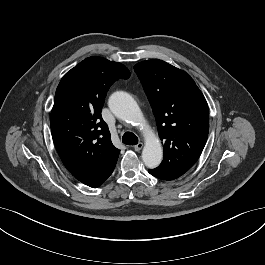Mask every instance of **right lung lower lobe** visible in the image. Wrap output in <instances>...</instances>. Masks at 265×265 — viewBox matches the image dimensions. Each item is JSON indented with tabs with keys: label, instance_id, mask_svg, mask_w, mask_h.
Here are the masks:
<instances>
[{
	"label": "right lung lower lobe",
	"instance_id": "1",
	"mask_svg": "<svg viewBox=\"0 0 265 265\" xmlns=\"http://www.w3.org/2000/svg\"><path fill=\"white\" fill-rule=\"evenodd\" d=\"M118 157L109 160L94 175L80 176L76 179L92 188L99 187L112 174Z\"/></svg>",
	"mask_w": 265,
	"mask_h": 265
}]
</instances>
